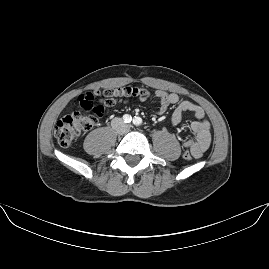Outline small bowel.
I'll use <instances>...</instances> for the list:
<instances>
[{
	"label": "small bowel",
	"instance_id": "c3829d8e",
	"mask_svg": "<svg viewBox=\"0 0 269 269\" xmlns=\"http://www.w3.org/2000/svg\"><path fill=\"white\" fill-rule=\"evenodd\" d=\"M155 95L159 100L158 114L165 113L171 105L176 106L170 117L172 126H178L182 122L185 113L189 112L194 115L195 120L191 122L190 128L195 134V138L184 140L183 146L190 150L193 157L201 158L211 144V127L210 123L205 119L204 110L191 101L180 100L176 93L158 89ZM145 97L146 95L141 98L144 99Z\"/></svg>",
	"mask_w": 269,
	"mask_h": 269
}]
</instances>
